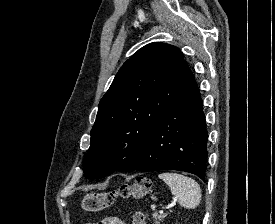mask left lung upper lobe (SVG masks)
I'll return each instance as SVG.
<instances>
[{"mask_svg": "<svg viewBox=\"0 0 275 224\" xmlns=\"http://www.w3.org/2000/svg\"><path fill=\"white\" fill-rule=\"evenodd\" d=\"M194 79L177 47L153 42L139 49L99 103L85 176L127 171L154 126Z\"/></svg>", "mask_w": 275, "mask_h": 224, "instance_id": "left-lung-upper-lobe-1", "label": "left lung upper lobe"}]
</instances>
